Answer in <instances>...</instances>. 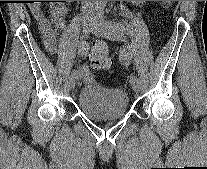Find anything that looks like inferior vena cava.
Here are the masks:
<instances>
[{"label":"inferior vena cava","mask_w":207,"mask_h":169,"mask_svg":"<svg viewBox=\"0 0 207 169\" xmlns=\"http://www.w3.org/2000/svg\"><path fill=\"white\" fill-rule=\"evenodd\" d=\"M86 4H93L96 3L95 1H84Z\"/></svg>","instance_id":"obj_1"}]
</instances>
